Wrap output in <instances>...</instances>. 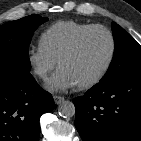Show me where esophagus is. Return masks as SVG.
<instances>
[{"mask_svg":"<svg viewBox=\"0 0 141 141\" xmlns=\"http://www.w3.org/2000/svg\"><path fill=\"white\" fill-rule=\"evenodd\" d=\"M53 99H54V102L58 105V104H60V103H62L65 99H64V97H61V96H57V95H55L54 97H53Z\"/></svg>","mask_w":141,"mask_h":141,"instance_id":"1","label":"esophagus"}]
</instances>
